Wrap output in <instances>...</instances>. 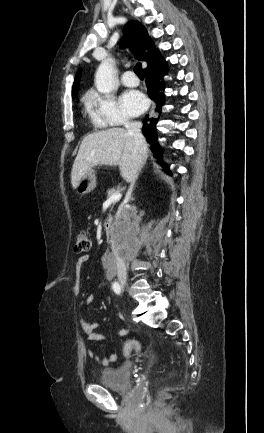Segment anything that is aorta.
Masks as SVG:
<instances>
[{
	"label": "aorta",
	"mask_w": 264,
	"mask_h": 433,
	"mask_svg": "<svg viewBox=\"0 0 264 433\" xmlns=\"http://www.w3.org/2000/svg\"><path fill=\"white\" fill-rule=\"evenodd\" d=\"M113 60L107 59L103 61L95 74V85L100 93L108 94L111 92L113 83Z\"/></svg>",
	"instance_id": "aorta-1"
}]
</instances>
